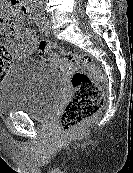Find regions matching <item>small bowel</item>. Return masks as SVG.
Listing matches in <instances>:
<instances>
[{"label": "small bowel", "mask_w": 133, "mask_h": 173, "mask_svg": "<svg viewBox=\"0 0 133 173\" xmlns=\"http://www.w3.org/2000/svg\"><path fill=\"white\" fill-rule=\"evenodd\" d=\"M11 4H13L11 0ZM24 15V14H23ZM12 20L15 24V29L12 32V38L5 49L8 51L10 56L14 57H30L34 55L37 47V39L32 30H26L24 33H20L19 29L22 23L19 15H13Z\"/></svg>", "instance_id": "1"}]
</instances>
